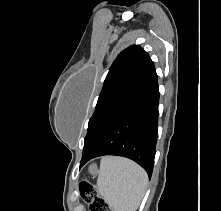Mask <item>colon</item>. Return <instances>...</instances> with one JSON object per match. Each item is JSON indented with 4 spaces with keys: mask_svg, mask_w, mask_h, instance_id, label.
Wrapping results in <instances>:
<instances>
[{
    "mask_svg": "<svg viewBox=\"0 0 221 211\" xmlns=\"http://www.w3.org/2000/svg\"><path fill=\"white\" fill-rule=\"evenodd\" d=\"M79 190L82 198L88 204L89 211H111L109 204L99 194L94 185L88 182H81Z\"/></svg>",
    "mask_w": 221,
    "mask_h": 211,
    "instance_id": "5ec220e1",
    "label": "colon"
}]
</instances>
